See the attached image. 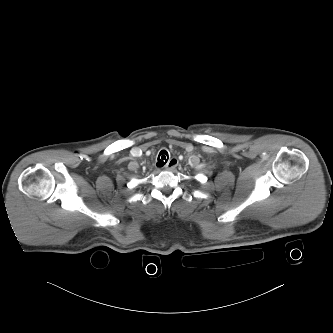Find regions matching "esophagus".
Segmentation results:
<instances>
[{
	"label": "esophagus",
	"mask_w": 333,
	"mask_h": 333,
	"mask_svg": "<svg viewBox=\"0 0 333 333\" xmlns=\"http://www.w3.org/2000/svg\"><path fill=\"white\" fill-rule=\"evenodd\" d=\"M178 164V160L176 158H171L168 163L165 165V170H174Z\"/></svg>",
	"instance_id": "1"
}]
</instances>
